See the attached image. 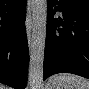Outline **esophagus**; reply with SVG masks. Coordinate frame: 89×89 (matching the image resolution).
Listing matches in <instances>:
<instances>
[{
    "mask_svg": "<svg viewBox=\"0 0 89 89\" xmlns=\"http://www.w3.org/2000/svg\"><path fill=\"white\" fill-rule=\"evenodd\" d=\"M26 31H27V36H28V41H29V46H30L31 45V36H32V18H31V13H29L27 15Z\"/></svg>",
    "mask_w": 89,
    "mask_h": 89,
    "instance_id": "1",
    "label": "esophagus"
}]
</instances>
